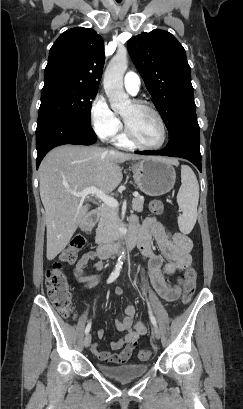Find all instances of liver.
<instances>
[{"mask_svg": "<svg viewBox=\"0 0 243 409\" xmlns=\"http://www.w3.org/2000/svg\"><path fill=\"white\" fill-rule=\"evenodd\" d=\"M145 156L98 146L62 145L51 150L39 167L40 197L45 208L47 251L53 260L85 220L89 206L71 191L97 187L112 192L122 181L121 163ZM172 162V161H171Z\"/></svg>", "mask_w": 243, "mask_h": 409, "instance_id": "6515ba94", "label": "liver"}]
</instances>
